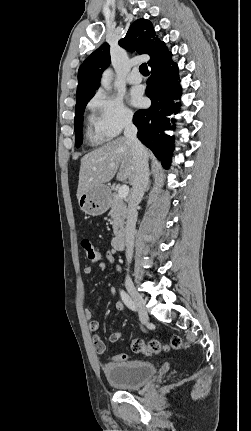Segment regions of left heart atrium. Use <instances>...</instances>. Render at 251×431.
Masks as SVG:
<instances>
[{
	"mask_svg": "<svg viewBox=\"0 0 251 431\" xmlns=\"http://www.w3.org/2000/svg\"><path fill=\"white\" fill-rule=\"evenodd\" d=\"M143 97L142 95L138 92V91H134L131 94V102L136 105V106H140L143 104Z\"/></svg>",
	"mask_w": 251,
	"mask_h": 431,
	"instance_id": "left-heart-atrium-1",
	"label": "left heart atrium"
}]
</instances>
